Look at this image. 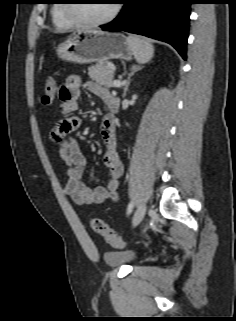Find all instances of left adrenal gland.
Returning a JSON list of instances; mask_svg holds the SVG:
<instances>
[{"mask_svg":"<svg viewBox=\"0 0 236 321\" xmlns=\"http://www.w3.org/2000/svg\"><path fill=\"white\" fill-rule=\"evenodd\" d=\"M143 67L139 66V65H132L131 67V73L129 74L128 76V79H127V82L125 84V87H124V91H123V96L126 95V92L128 90V87L130 85V81H131V77L139 70H141Z\"/></svg>","mask_w":236,"mask_h":321,"instance_id":"left-adrenal-gland-1","label":"left adrenal gland"}]
</instances>
